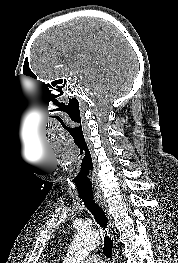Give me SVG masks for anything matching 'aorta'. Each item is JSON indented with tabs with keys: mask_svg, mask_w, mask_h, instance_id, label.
Returning <instances> with one entry per match:
<instances>
[{
	"mask_svg": "<svg viewBox=\"0 0 178 263\" xmlns=\"http://www.w3.org/2000/svg\"><path fill=\"white\" fill-rule=\"evenodd\" d=\"M99 239L95 231L85 229L78 231L63 263H84L85 258L99 243Z\"/></svg>",
	"mask_w": 178,
	"mask_h": 263,
	"instance_id": "obj_1",
	"label": "aorta"
}]
</instances>
